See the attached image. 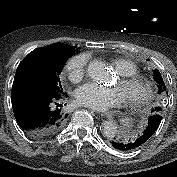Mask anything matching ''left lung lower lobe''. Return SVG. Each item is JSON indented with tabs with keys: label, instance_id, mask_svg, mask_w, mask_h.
<instances>
[{
	"label": "left lung lower lobe",
	"instance_id": "left-lung-lower-lobe-1",
	"mask_svg": "<svg viewBox=\"0 0 177 177\" xmlns=\"http://www.w3.org/2000/svg\"><path fill=\"white\" fill-rule=\"evenodd\" d=\"M160 107L153 110L152 115L148 119L146 129L141 135L132 139L118 138L112 142L114 148L121 151H130L142 146L156 131L162 120L161 114L158 113Z\"/></svg>",
	"mask_w": 177,
	"mask_h": 177
}]
</instances>
